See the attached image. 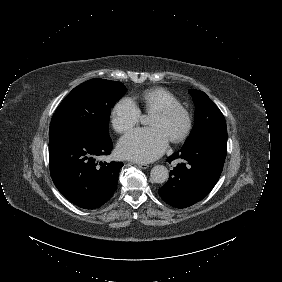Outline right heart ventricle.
<instances>
[{
    "mask_svg": "<svg viewBox=\"0 0 282 282\" xmlns=\"http://www.w3.org/2000/svg\"><path fill=\"white\" fill-rule=\"evenodd\" d=\"M129 101L146 113H152L164 105H179L178 100L171 93L161 88L145 91L140 98L135 97Z\"/></svg>",
    "mask_w": 282,
    "mask_h": 282,
    "instance_id": "obj_1",
    "label": "right heart ventricle"
}]
</instances>
